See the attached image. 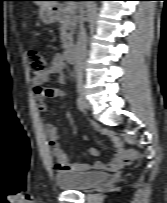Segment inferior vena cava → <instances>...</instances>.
Returning <instances> with one entry per match:
<instances>
[{"mask_svg":"<svg viewBox=\"0 0 167 203\" xmlns=\"http://www.w3.org/2000/svg\"><path fill=\"white\" fill-rule=\"evenodd\" d=\"M86 54H87V36L86 30L84 28V16L83 13H81L80 29L76 47V62H75V71L79 78H82L84 75Z\"/></svg>","mask_w":167,"mask_h":203,"instance_id":"1","label":"inferior vena cava"}]
</instances>
